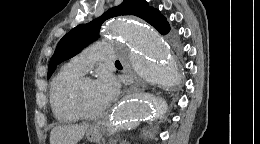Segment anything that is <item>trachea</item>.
Wrapping results in <instances>:
<instances>
[{"label": "trachea", "instance_id": "1", "mask_svg": "<svg viewBox=\"0 0 260 144\" xmlns=\"http://www.w3.org/2000/svg\"><path fill=\"white\" fill-rule=\"evenodd\" d=\"M115 64H120V62L117 60V61L115 62Z\"/></svg>", "mask_w": 260, "mask_h": 144}]
</instances>
